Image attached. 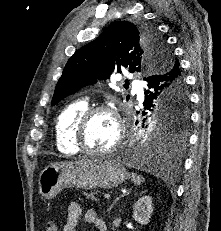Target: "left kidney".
I'll return each instance as SVG.
<instances>
[{
	"label": "left kidney",
	"instance_id": "1",
	"mask_svg": "<svg viewBox=\"0 0 221 231\" xmlns=\"http://www.w3.org/2000/svg\"><path fill=\"white\" fill-rule=\"evenodd\" d=\"M153 212L152 198L143 196L133 206V218L141 225H147Z\"/></svg>",
	"mask_w": 221,
	"mask_h": 231
}]
</instances>
